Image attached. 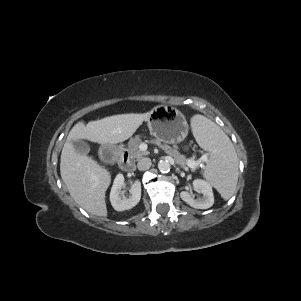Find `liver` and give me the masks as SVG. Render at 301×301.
<instances>
[{"label": "liver", "mask_w": 301, "mask_h": 301, "mask_svg": "<svg viewBox=\"0 0 301 301\" xmlns=\"http://www.w3.org/2000/svg\"><path fill=\"white\" fill-rule=\"evenodd\" d=\"M148 116L149 113L120 114L87 125L78 122L69 132L61 152L60 173L71 197L87 212L107 216L105 194L111 175L90 157L77 153L72 141L87 139L102 145L117 144L129 139Z\"/></svg>", "instance_id": "liver-1"}]
</instances>
